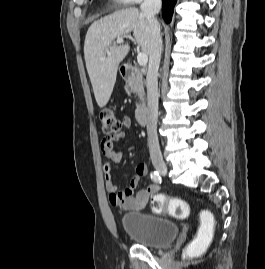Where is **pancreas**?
<instances>
[{
    "mask_svg": "<svg viewBox=\"0 0 265 269\" xmlns=\"http://www.w3.org/2000/svg\"><path fill=\"white\" fill-rule=\"evenodd\" d=\"M126 90L131 89V91L135 92L138 96L143 94V83L138 76H136L133 80H130L125 87Z\"/></svg>",
    "mask_w": 265,
    "mask_h": 269,
    "instance_id": "cf45deb5",
    "label": "pancreas"
}]
</instances>
